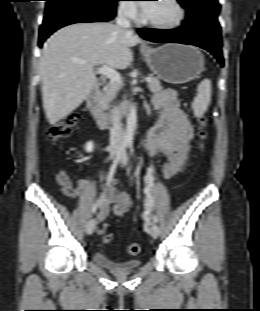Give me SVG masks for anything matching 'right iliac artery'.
Wrapping results in <instances>:
<instances>
[{"mask_svg": "<svg viewBox=\"0 0 260 311\" xmlns=\"http://www.w3.org/2000/svg\"><path fill=\"white\" fill-rule=\"evenodd\" d=\"M127 146H128V142H127V141L121 142V144H120V146H119V148H118L117 154H116V158L114 159V161H113L112 164H111V167H110V170H109V173H108V176H107V181H109V180L112 179V177H113V175H114V173H115V170H116V168H117L119 159H120V157L124 154L125 149H126ZM107 185H108V183H107ZM99 203H100V199H98V200L96 201V203L94 204V206H93V212H96Z\"/></svg>", "mask_w": 260, "mask_h": 311, "instance_id": "1", "label": "right iliac artery"}]
</instances>
